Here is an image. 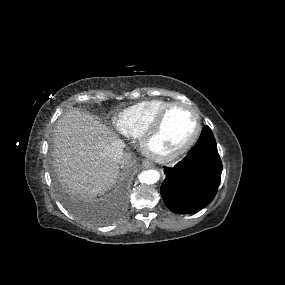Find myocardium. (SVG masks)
<instances>
[{"label":"myocardium","instance_id":"1","mask_svg":"<svg viewBox=\"0 0 285 285\" xmlns=\"http://www.w3.org/2000/svg\"><path fill=\"white\" fill-rule=\"evenodd\" d=\"M176 107H184L189 109L196 117V127L192 134V136L180 147L168 152V153H157L152 150L151 142L160 132L163 123L170 113ZM202 131V120L199 111L192 105L183 102H173L169 106H167L152 122V124L147 128V130L143 133L140 140V147L142 152L148 156L150 159L157 163H168L171 162L185 152H187L198 140Z\"/></svg>","mask_w":285,"mask_h":285}]
</instances>
